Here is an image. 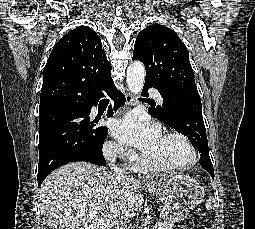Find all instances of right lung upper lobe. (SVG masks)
<instances>
[{"mask_svg":"<svg viewBox=\"0 0 255 229\" xmlns=\"http://www.w3.org/2000/svg\"><path fill=\"white\" fill-rule=\"evenodd\" d=\"M99 36L87 26L65 34L54 46L43 71L39 116L93 105L114 87Z\"/></svg>","mask_w":255,"mask_h":229,"instance_id":"right-lung-upper-lobe-1","label":"right lung upper lobe"}]
</instances>
